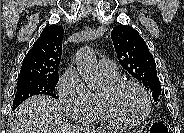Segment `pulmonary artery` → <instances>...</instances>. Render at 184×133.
Returning a JSON list of instances; mask_svg holds the SVG:
<instances>
[{
	"instance_id": "e3ab8cb5",
	"label": "pulmonary artery",
	"mask_w": 184,
	"mask_h": 133,
	"mask_svg": "<svg viewBox=\"0 0 184 133\" xmlns=\"http://www.w3.org/2000/svg\"><path fill=\"white\" fill-rule=\"evenodd\" d=\"M99 68L103 74L109 76H116L118 75L117 66L116 64L111 61L110 59H102L99 61Z\"/></svg>"
}]
</instances>
